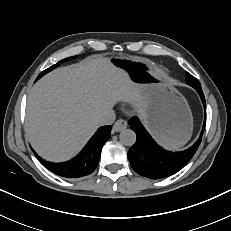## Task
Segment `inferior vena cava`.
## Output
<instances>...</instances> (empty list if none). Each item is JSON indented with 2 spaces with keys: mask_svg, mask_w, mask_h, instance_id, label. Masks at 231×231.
Listing matches in <instances>:
<instances>
[{
  "mask_svg": "<svg viewBox=\"0 0 231 231\" xmlns=\"http://www.w3.org/2000/svg\"><path fill=\"white\" fill-rule=\"evenodd\" d=\"M115 118V112L113 110H110L99 119V125H111L115 121Z\"/></svg>",
  "mask_w": 231,
  "mask_h": 231,
  "instance_id": "602c4592",
  "label": "inferior vena cava"
}]
</instances>
